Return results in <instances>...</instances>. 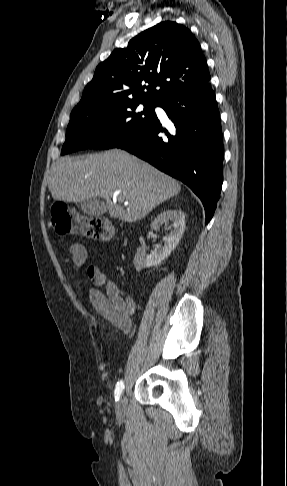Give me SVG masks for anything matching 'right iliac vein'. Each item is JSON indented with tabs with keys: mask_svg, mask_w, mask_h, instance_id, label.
<instances>
[{
	"mask_svg": "<svg viewBox=\"0 0 287 486\" xmlns=\"http://www.w3.org/2000/svg\"><path fill=\"white\" fill-rule=\"evenodd\" d=\"M116 411L118 414H122L125 411V400L121 397L116 403Z\"/></svg>",
	"mask_w": 287,
	"mask_h": 486,
	"instance_id": "right-iliac-vein-1",
	"label": "right iliac vein"
}]
</instances>
